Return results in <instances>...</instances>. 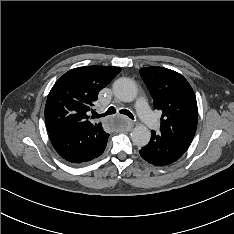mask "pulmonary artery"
I'll list each match as a JSON object with an SVG mask.
<instances>
[{
  "label": "pulmonary artery",
  "instance_id": "e3ab8cb5",
  "mask_svg": "<svg viewBox=\"0 0 234 234\" xmlns=\"http://www.w3.org/2000/svg\"><path fill=\"white\" fill-rule=\"evenodd\" d=\"M137 112L147 129H154L158 126V121L150 110L145 98L140 97L136 103Z\"/></svg>",
  "mask_w": 234,
  "mask_h": 234
}]
</instances>
